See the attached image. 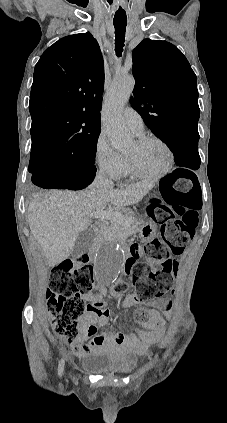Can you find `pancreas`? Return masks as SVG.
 Instances as JSON below:
<instances>
[{
	"label": "pancreas",
	"mask_w": 227,
	"mask_h": 423,
	"mask_svg": "<svg viewBox=\"0 0 227 423\" xmlns=\"http://www.w3.org/2000/svg\"><path fill=\"white\" fill-rule=\"evenodd\" d=\"M119 213L132 217V221L127 223H119V221H102L99 225V233H101L103 239H115V241H121L125 237H129L131 233H136L140 229V219L133 217V213L130 210H118Z\"/></svg>",
	"instance_id": "pancreas-1"
}]
</instances>
